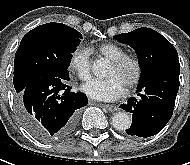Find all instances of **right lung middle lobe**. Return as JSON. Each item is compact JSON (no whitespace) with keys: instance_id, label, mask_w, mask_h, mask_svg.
<instances>
[{"instance_id":"obj_1","label":"right lung middle lobe","mask_w":190,"mask_h":165,"mask_svg":"<svg viewBox=\"0 0 190 165\" xmlns=\"http://www.w3.org/2000/svg\"><path fill=\"white\" fill-rule=\"evenodd\" d=\"M81 34L62 23H48L29 31L21 40L14 59L13 83L17 93L36 79L67 78L72 53Z\"/></svg>"}]
</instances>
